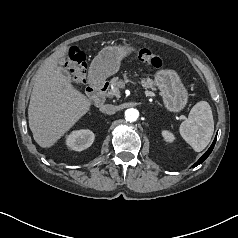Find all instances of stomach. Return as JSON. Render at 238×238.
Instances as JSON below:
<instances>
[{"mask_svg":"<svg viewBox=\"0 0 238 238\" xmlns=\"http://www.w3.org/2000/svg\"><path fill=\"white\" fill-rule=\"evenodd\" d=\"M129 53V47H104L90 65L89 79L92 82H98L117 73L121 60ZM154 80L160 90L164 106L171 112L182 111L188 102V92L177 72L171 69L158 70L154 75Z\"/></svg>","mask_w":238,"mask_h":238,"instance_id":"obj_1","label":"stomach"}]
</instances>
